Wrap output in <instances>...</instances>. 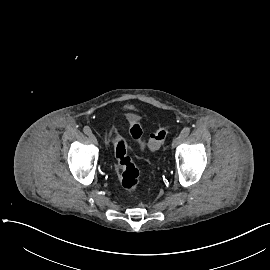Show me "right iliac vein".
<instances>
[{"instance_id":"right-iliac-vein-1","label":"right iliac vein","mask_w":270,"mask_h":270,"mask_svg":"<svg viewBox=\"0 0 270 270\" xmlns=\"http://www.w3.org/2000/svg\"><path fill=\"white\" fill-rule=\"evenodd\" d=\"M89 138H90V140H91L93 143H95V144L97 143V139H96V137H95L94 134L91 133V134L89 135Z\"/></svg>"}]
</instances>
